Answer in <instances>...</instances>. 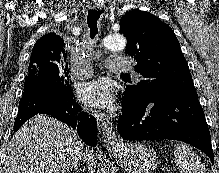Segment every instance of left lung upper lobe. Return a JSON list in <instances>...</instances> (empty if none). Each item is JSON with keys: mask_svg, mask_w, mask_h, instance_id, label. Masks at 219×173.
I'll return each mask as SVG.
<instances>
[{"mask_svg": "<svg viewBox=\"0 0 219 173\" xmlns=\"http://www.w3.org/2000/svg\"><path fill=\"white\" fill-rule=\"evenodd\" d=\"M120 32L127 38L126 54L144 77L137 85L126 86L125 95L144 101L196 92L180 44L167 24L146 11L132 10L122 16Z\"/></svg>", "mask_w": 219, "mask_h": 173, "instance_id": "obj_1", "label": "left lung upper lobe"}]
</instances>
